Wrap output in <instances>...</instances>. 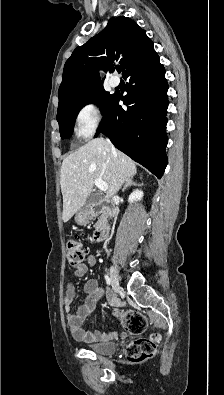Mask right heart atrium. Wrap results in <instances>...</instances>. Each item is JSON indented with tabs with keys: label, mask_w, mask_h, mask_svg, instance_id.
I'll use <instances>...</instances> for the list:
<instances>
[{
	"label": "right heart atrium",
	"mask_w": 224,
	"mask_h": 395,
	"mask_svg": "<svg viewBox=\"0 0 224 395\" xmlns=\"http://www.w3.org/2000/svg\"><path fill=\"white\" fill-rule=\"evenodd\" d=\"M103 115L98 102L83 103L75 114V132L83 139L91 137L102 123Z\"/></svg>",
	"instance_id": "right-heart-atrium-1"
}]
</instances>
